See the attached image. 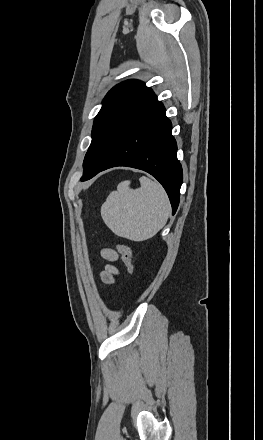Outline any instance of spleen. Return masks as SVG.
Returning <instances> with one entry per match:
<instances>
[{"mask_svg": "<svg viewBox=\"0 0 263 440\" xmlns=\"http://www.w3.org/2000/svg\"><path fill=\"white\" fill-rule=\"evenodd\" d=\"M140 188L131 189L123 181L109 194L101 207V216L117 236L144 241L156 235L166 224L171 205L164 188L148 177L139 179Z\"/></svg>", "mask_w": 263, "mask_h": 440, "instance_id": "3e777b00", "label": "spleen"}]
</instances>
